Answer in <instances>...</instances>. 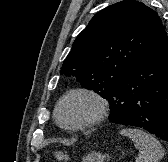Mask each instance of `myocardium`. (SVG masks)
<instances>
[{"mask_svg": "<svg viewBox=\"0 0 168 162\" xmlns=\"http://www.w3.org/2000/svg\"><path fill=\"white\" fill-rule=\"evenodd\" d=\"M73 98H80L90 101L94 106L93 113L75 125H67L61 121L60 111L64 103ZM109 111L108 100L98 92L88 88H76L65 93L56 103L54 116L57 124L68 131H80L99 124L104 120Z\"/></svg>", "mask_w": 168, "mask_h": 162, "instance_id": "myocardium-1", "label": "myocardium"}]
</instances>
